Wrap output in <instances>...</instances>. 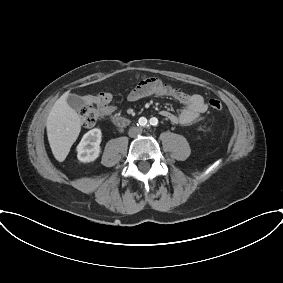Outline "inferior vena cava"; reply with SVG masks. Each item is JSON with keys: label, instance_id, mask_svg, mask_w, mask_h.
Here are the masks:
<instances>
[{"label": "inferior vena cava", "instance_id": "602c4592", "mask_svg": "<svg viewBox=\"0 0 283 283\" xmlns=\"http://www.w3.org/2000/svg\"><path fill=\"white\" fill-rule=\"evenodd\" d=\"M141 132H142V129L140 127H131L129 129L128 134H129L130 137H135L138 134H140Z\"/></svg>", "mask_w": 283, "mask_h": 283}]
</instances>
